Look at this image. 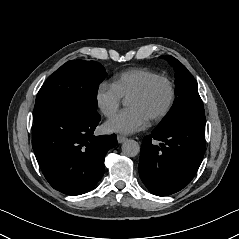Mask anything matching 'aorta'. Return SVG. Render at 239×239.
<instances>
[{"mask_svg":"<svg viewBox=\"0 0 239 239\" xmlns=\"http://www.w3.org/2000/svg\"><path fill=\"white\" fill-rule=\"evenodd\" d=\"M122 153L127 157H135L140 152V145L137 141L128 139L122 144Z\"/></svg>","mask_w":239,"mask_h":239,"instance_id":"1","label":"aorta"}]
</instances>
